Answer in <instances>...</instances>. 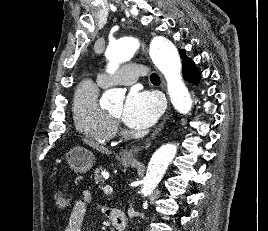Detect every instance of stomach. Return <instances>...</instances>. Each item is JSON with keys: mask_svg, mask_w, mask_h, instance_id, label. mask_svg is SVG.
Wrapping results in <instances>:
<instances>
[{"mask_svg": "<svg viewBox=\"0 0 268 231\" xmlns=\"http://www.w3.org/2000/svg\"><path fill=\"white\" fill-rule=\"evenodd\" d=\"M66 160L76 173H86L95 162L94 155L83 147H74L66 153ZM124 166H130L131 161H123Z\"/></svg>", "mask_w": 268, "mask_h": 231, "instance_id": "1", "label": "stomach"}]
</instances>
